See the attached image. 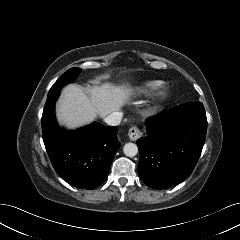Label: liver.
<instances>
[{"label":"liver","instance_id":"6515ba94","mask_svg":"<svg viewBox=\"0 0 240 240\" xmlns=\"http://www.w3.org/2000/svg\"><path fill=\"white\" fill-rule=\"evenodd\" d=\"M133 94L129 85L102 84L84 91L76 85L63 89L57 104V118L62 125L74 129L92 122L96 117L105 118L120 111Z\"/></svg>","mask_w":240,"mask_h":240}]
</instances>
